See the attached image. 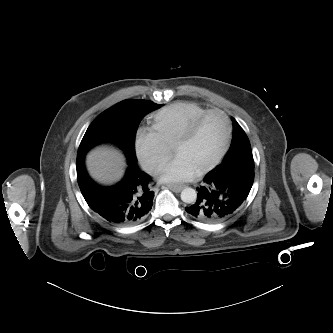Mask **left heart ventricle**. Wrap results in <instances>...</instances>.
I'll return each instance as SVG.
<instances>
[{"mask_svg":"<svg viewBox=\"0 0 333 333\" xmlns=\"http://www.w3.org/2000/svg\"><path fill=\"white\" fill-rule=\"evenodd\" d=\"M226 135V123L219 114L209 115L199 125L191 139L174 146L197 171L209 164L219 153Z\"/></svg>","mask_w":333,"mask_h":333,"instance_id":"left-heart-ventricle-1","label":"left heart ventricle"}]
</instances>
